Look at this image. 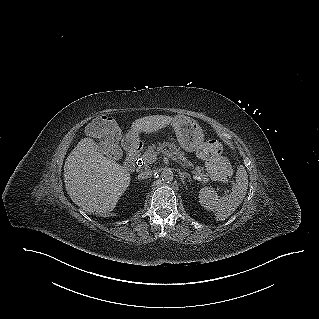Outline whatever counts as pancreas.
<instances>
[{
	"mask_svg": "<svg viewBox=\"0 0 319 319\" xmlns=\"http://www.w3.org/2000/svg\"><path fill=\"white\" fill-rule=\"evenodd\" d=\"M168 148V149H167ZM170 151L173 155H175L177 157V159L186 167V168H191L193 167V164L188 161L184 155L183 152L180 151V148H178V145L175 143H162L158 146H149L147 148V150L142 154V156L140 157L142 159V161L144 162L145 166L152 164L155 161L151 160V157L154 155H157L158 153L162 152V151ZM194 174H196L197 176H200L201 181H203L204 183L208 182V174L202 172V168L201 167H195V169L193 170Z\"/></svg>",
	"mask_w": 319,
	"mask_h": 319,
	"instance_id": "cf45deb5",
	"label": "pancreas"
}]
</instances>
